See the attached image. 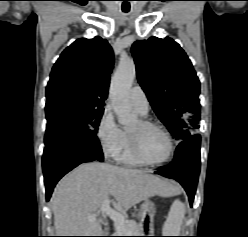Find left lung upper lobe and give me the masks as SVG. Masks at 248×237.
Returning a JSON list of instances; mask_svg holds the SVG:
<instances>
[{
  "label": "left lung upper lobe",
  "instance_id": "5c2ea615",
  "mask_svg": "<svg viewBox=\"0 0 248 237\" xmlns=\"http://www.w3.org/2000/svg\"><path fill=\"white\" fill-rule=\"evenodd\" d=\"M138 81L152 108L177 140L199 128L200 82L184 50L173 39L151 37L132 46Z\"/></svg>",
  "mask_w": 248,
  "mask_h": 237
}]
</instances>
